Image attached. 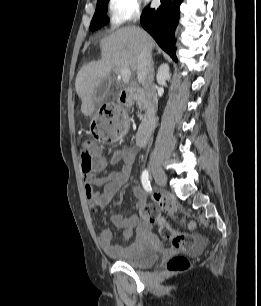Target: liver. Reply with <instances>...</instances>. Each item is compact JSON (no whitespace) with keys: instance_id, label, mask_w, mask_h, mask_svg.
I'll return each instance as SVG.
<instances>
[{"instance_id":"1","label":"liver","mask_w":261,"mask_h":306,"mask_svg":"<svg viewBox=\"0 0 261 306\" xmlns=\"http://www.w3.org/2000/svg\"><path fill=\"white\" fill-rule=\"evenodd\" d=\"M152 37L143 29L127 26L105 37L100 42L101 60L85 64L78 72L76 92L81 99V112L92 116L95 112L94 93L99 83L111 72L119 74L124 68L137 70L138 55L143 47L155 48Z\"/></svg>"}]
</instances>
